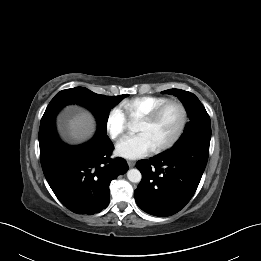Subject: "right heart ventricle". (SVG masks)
<instances>
[{
  "label": "right heart ventricle",
  "mask_w": 261,
  "mask_h": 261,
  "mask_svg": "<svg viewBox=\"0 0 261 261\" xmlns=\"http://www.w3.org/2000/svg\"><path fill=\"white\" fill-rule=\"evenodd\" d=\"M167 100L169 99L164 96H140L123 101L121 108L129 120L135 121Z\"/></svg>",
  "instance_id": "obj_1"
}]
</instances>
